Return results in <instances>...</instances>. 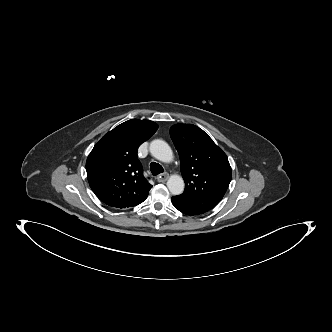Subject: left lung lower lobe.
Listing matches in <instances>:
<instances>
[{"label":"left lung lower lobe","mask_w":332,"mask_h":332,"mask_svg":"<svg viewBox=\"0 0 332 332\" xmlns=\"http://www.w3.org/2000/svg\"><path fill=\"white\" fill-rule=\"evenodd\" d=\"M172 204L176 209H178L179 211H181L182 213H184L186 215L194 216V215H200V214H203L206 212L200 208L194 207V206L184 202L183 200L177 198L176 196L172 197Z\"/></svg>","instance_id":"left-lung-lower-lobe-1"}]
</instances>
